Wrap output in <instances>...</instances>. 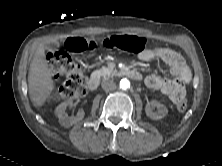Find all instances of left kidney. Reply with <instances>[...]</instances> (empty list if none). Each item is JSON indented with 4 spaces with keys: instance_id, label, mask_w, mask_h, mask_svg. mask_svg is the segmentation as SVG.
<instances>
[{
    "instance_id": "1",
    "label": "left kidney",
    "mask_w": 222,
    "mask_h": 166,
    "mask_svg": "<svg viewBox=\"0 0 222 166\" xmlns=\"http://www.w3.org/2000/svg\"><path fill=\"white\" fill-rule=\"evenodd\" d=\"M157 107L158 112H153V108ZM146 115L153 120H160L168 114L166 106L156 100H152L146 104L145 107Z\"/></svg>"
}]
</instances>
